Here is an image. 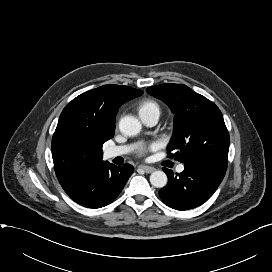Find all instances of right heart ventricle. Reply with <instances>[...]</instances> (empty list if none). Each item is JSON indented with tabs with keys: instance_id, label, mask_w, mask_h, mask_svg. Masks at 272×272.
<instances>
[{
	"instance_id": "1",
	"label": "right heart ventricle",
	"mask_w": 272,
	"mask_h": 272,
	"mask_svg": "<svg viewBox=\"0 0 272 272\" xmlns=\"http://www.w3.org/2000/svg\"><path fill=\"white\" fill-rule=\"evenodd\" d=\"M139 115H146L150 113H160L159 105L153 100H144L138 106Z\"/></svg>"
}]
</instances>
